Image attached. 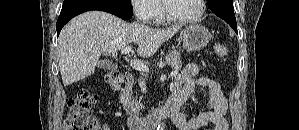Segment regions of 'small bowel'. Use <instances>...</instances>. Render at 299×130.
<instances>
[{
    "label": "small bowel",
    "mask_w": 299,
    "mask_h": 130,
    "mask_svg": "<svg viewBox=\"0 0 299 130\" xmlns=\"http://www.w3.org/2000/svg\"><path fill=\"white\" fill-rule=\"evenodd\" d=\"M196 86L205 87L209 94L210 111L201 112L198 115L187 119L182 113L176 116L173 123L179 130H199L209 123L214 124L213 130H228L229 124L225 118L228 110V102L224 97L218 83L205 75H201V67L197 64L185 66L176 78L175 94L182 93L189 96ZM105 130H109L104 124Z\"/></svg>",
    "instance_id": "obj_1"
}]
</instances>
